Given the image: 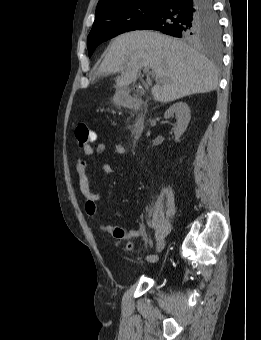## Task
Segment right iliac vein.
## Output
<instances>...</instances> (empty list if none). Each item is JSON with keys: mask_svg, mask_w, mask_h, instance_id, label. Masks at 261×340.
Masks as SVG:
<instances>
[{"mask_svg": "<svg viewBox=\"0 0 261 340\" xmlns=\"http://www.w3.org/2000/svg\"><path fill=\"white\" fill-rule=\"evenodd\" d=\"M165 246H166L165 239H161L157 244L156 253L158 254L161 253L164 250Z\"/></svg>", "mask_w": 261, "mask_h": 340, "instance_id": "obj_1", "label": "right iliac vein"}]
</instances>
